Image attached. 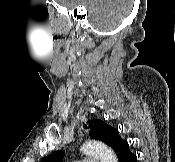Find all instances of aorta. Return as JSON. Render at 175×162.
Wrapping results in <instances>:
<instances>
[{
    "instance_id": "1",
    "label": "aorta",
    "mask_w": 175,
    "mask_h": 162,
    "mask_svg": "<svg viewBox=\"0 0 175 162\" xmlns=\"http://www.w3.org/2000/svg\"><path fill=\"white\" fill-rule=\"evenodd\" d=\"M81 151L94 156L100 162H118L114 151L99 141H87L81 146Z\"/></svg>"
}]
</instances>
